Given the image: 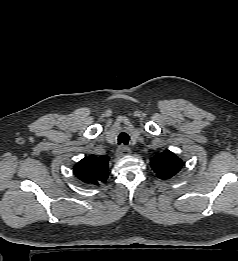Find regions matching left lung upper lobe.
<instances>
[{
	"label": "left lung upper lobe",
	"instance_id": "obj_1",
	"mask_svg": "<svg viewBox=\"0 0 238 261\" xmlns=\"http://www.w3.org/2000/svg\"><path fill=\"white\" fill-rule=\"evenodd\" d=\"M151 166L159 178L170 179L179 172L183 162L173 152L166 150L151 159Z\"/></svg>",
	"mask_w": 238,
	"mask_h": 261
}]
</instances>
